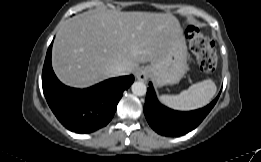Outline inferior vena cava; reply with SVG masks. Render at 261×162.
<instances>
[{
    "instance_id": "602c4592",
    "label": "inferior vena cava",
    "mask_w": 261,
    "mask_h": 162,
    "mask_svg": "<svg viewBox=\"0 0 261 162\" xmlns=\"http://www.w3.org/2000/svg\"><path fill=\"white\" fill-rule=\"evenodd\" d=\"M113 74L114 76L128 75L130 71L126 67L118 65L113 68Z\"/></svg>"
}]
</instances>
